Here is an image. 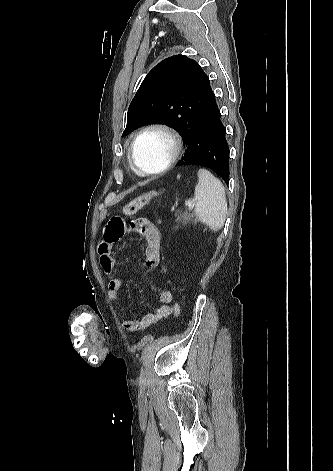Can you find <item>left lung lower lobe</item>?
<instances>
[{
  "label": "left lung lower lobe",
  "instance_id": "obj_1",
  "mask_svg": "<svg viewBox=\"0 0 333 471\" xmlns=\"http://www.w3.org/2000/svg\"><path fill=\"white\" fill-rule=\"evenodd\" d=\"M186 146L185 154L177 166L186 164L206 166L228 183L229 147L213 92L194 125Z\"/></svg>",
  "mask_w": 333,
  "mask_h": 471
}]
</instances>
